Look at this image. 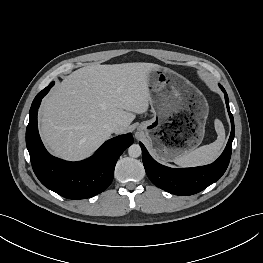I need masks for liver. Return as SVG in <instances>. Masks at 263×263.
Masks as SVG:
<instances>
[{"label": "liver", "instance_id": "6515ba94", "mask_svg": "<svg viewBox=\"0 0 263 263\" xmlns=\"http://www.w3.org/2000/svg\"><path fill=\"white\" fill-rule=\"evenodd\" d=\"M159 65L122 63L91 65L67 76L42 101L40 133L49 150L66 160L91 155L110 136L106 125L123 133L145 113L151 100L147 74Z\"/></svg>", "mask_w": 263, "mask_h": 263}]
</instances>
